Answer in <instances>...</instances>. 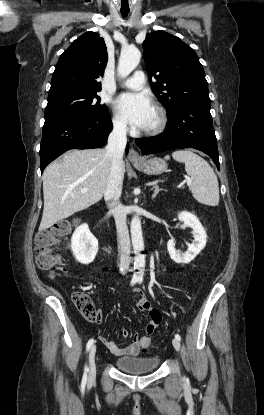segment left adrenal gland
<instances>
[{
	"mask_svg": "<svg viewBox=\"0 0 264 415\" xmlns=\"http://www.w3.org/2000/svg\"><path fill=\"white\" fill-rule=\"evenodd\" d=\"M151 190H154V193L152 194V198H155L156 195L163 189H160L159 186L157 184H155Z\"/></svg>",
	"mask_w": 264,
	"mask_h": 415,
	"instance_id": "obj_1",
	"label": "left adrenal gland"
}]
</instances>
